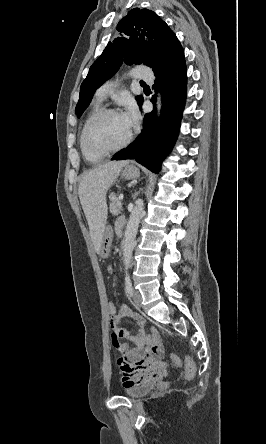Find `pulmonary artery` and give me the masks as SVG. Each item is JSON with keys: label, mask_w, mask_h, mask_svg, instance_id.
Returning <instances> with one entry per match:
<instances>
[{"label": "pulmonary artery", "mask_w": 266, "mask_h": 444, "mask_svg": "<svg viewBox=\"0 0 266 444\" xmlns=\"http://www.w3.org/2000/svg\"><path fill=\"white\" fill-rule=\"evenodd\" d=\"M128 76L135 78V79H142L151 81L152 80V73L147 66H137L134 67L129 73H127ZM118 80H110L106 82L103 86H101L97 92L96 97L99 100H102L106 98V96L114 89V87L117 85Z\"/></svg>", "instance_id": "pulmonary-artery-1"}]
</instances>
